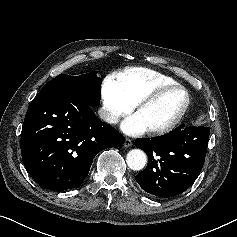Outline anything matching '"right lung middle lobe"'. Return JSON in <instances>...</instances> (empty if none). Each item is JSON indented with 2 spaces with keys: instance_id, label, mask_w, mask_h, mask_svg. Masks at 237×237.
Segmentation results:
<instances>
[{
  "instance_id": "1",
  "label": "right lung middle lobe",
  "mask_w": 237,
  "mask_h": 237,
  "mask_svg": "<svg viewBox=\"0 0 237 237\" xmlns=\"http://www.w3.org/2000/svg\"><path fill=\"white\" fill-rule=\"evenodd\" d=\"M96 72H90L79 76L59 74L46 83L41 91L67 92L85 101L90 106L100 104L101 79Z\"/></svg>"
}]
</instances>
